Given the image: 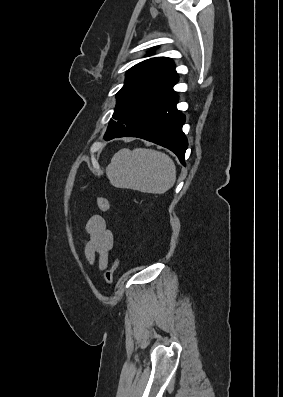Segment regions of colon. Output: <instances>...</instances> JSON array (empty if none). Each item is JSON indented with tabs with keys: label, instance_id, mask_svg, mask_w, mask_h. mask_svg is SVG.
I'll return each instance as SVG.
<instances>
[{
	"label": "colon",
	"instance_id": "colon-1",
	"mask_svg": "<svg viewBox=\"0 0 283 397\" xmlns=\"http://www.w3.org/2000/svg\"><path fill=\"white\" fill-rule=\"evenodd\" d=\"M97 205L99 209L103 212H109L110 210V203L106 197H99L97 199ZM118 266H119V259L117 258L114 261L111 268L108 271H106V273L104 274L103 282L105 284H111L113 282Z\"/></svg>",
	"mask_w": 283,
	"mask_h": 397
}]
</instances>
